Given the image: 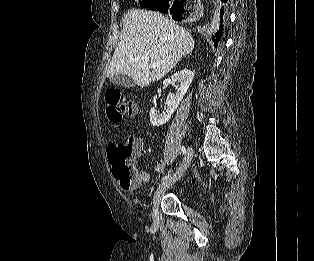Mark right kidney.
Masks as SVG:
<instances>
[{"label": "right kidney", "instance_id": "1", "mask_svg": "<svg viewBox=\"0 0 314 261\" xmlns=\"http://www.w3.org/2000/svg\"><path fill=\"white\" fill-rule=\"evenodd\" d=\"M194 72L188 69H183L175 73L171 77V82L176 87V93H170L166 99V109L163 113H159L156 107L150 110V122L152 126H161L169 121L171 115L177 109L178 105L182 101L183 97L187 93V90L193 80Z\"/></svg>", "mask_w": 314, "mask_h": 261}]
</instances>
